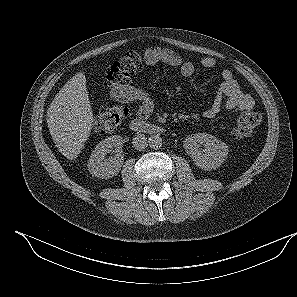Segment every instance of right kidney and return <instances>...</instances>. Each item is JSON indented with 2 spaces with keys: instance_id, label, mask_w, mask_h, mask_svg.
Here are the masks:
<instances>
[{
  "instance_id": "ca27d5eb",
  "label": "right kidney",
  "mask_w": 297,
  "mask_h": 297,
  "mask_svg": "<svg viewBox=\"0 0 297 297\" xmlns=\"http://www.w3.org/2000/svg\"><path fill=\"white\" fill-rule=\"evenodd\" d=\"M123 138L119 135L110 136L98 143L88 161V170L92 176L108 179L117 175L123 165ZM113 151V157L105 156Z\"/></svg>"
}]
</instances>
